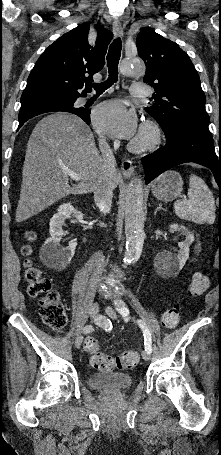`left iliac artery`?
<instances>
[{"label": "left iliac artery", "instance_id": "1", "mask_svg": "<svg viewBox=\"0 0 221 455\" xmlns=\"http://www.w3.org/2000/svg\"><path fill=\"white\" fill-rule=\"evenodd\" d=\"M115 305L116 310L124 317V320L128 321L129 309L126 307L125 303L122 300H116ZM137 323L141 330L143 331L145 351H147L150 354L152 352L151 333L143 321L138 320Z\"/></svg>", "mask_w": 221, "mask_h": 455}]
</instances>
